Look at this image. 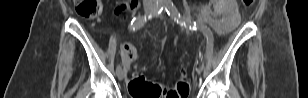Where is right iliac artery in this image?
I'll return each mask as SVG.
<instances>
[{"instance_id": "82829eb1", "label": "right iliac artery", "mask_w": 308, "mask_h": 98, "mask_svg": "<svg viewBox=\"0 0 308 98\" xmlns=\"http://www.w3.org/2000/svg\"><path fill=\"white\" fill-rule=\"evenodd\" d=\"M165 4L164 3H158L156 10H155V14H160L164 8ZM153 17V14H149V15H144V16H138L136 18H134L131 22V26H130V31H136L138 29H140L146 22L147 20L151 19ZM121 70V66L118 65L116 68V72L118 73Z\"/></svg>"}]
</instances>
